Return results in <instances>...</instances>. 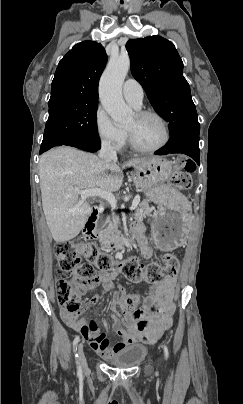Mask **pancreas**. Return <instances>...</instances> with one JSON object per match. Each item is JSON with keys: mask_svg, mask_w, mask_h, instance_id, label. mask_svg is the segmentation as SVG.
I'll return each instance as SVG.
<instances>
[{"mask_svg": "<svg viewBox=\"0 0 243 404\" xmlns=\"http://www.w3.org/2000/svg\"><path fill=\"white\" fill-rule=\"evenodd\" d=\"M152 210L148 204V200H143L141 204H138L137 210H135L134 218L135 220H139V222H142L146 216H150ZM118 216H115V214H112V222H109V224H105L104 230H100L98 234V238L100 242H111V240H114V238H117L119 236L120 232H118Z\"/></svg>", "mask_w": 243, "mask_h": 404, "instance_id": "1", "label": "pancreas"}]
</instances>
